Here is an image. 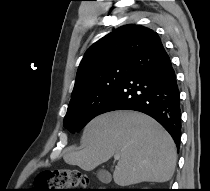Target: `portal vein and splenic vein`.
I'll list each match as a JSON object with an SVG mask.
<instances>
[{
	"label": "portal vein and splenic vein",
	"instance_id": "18ae733b",
	"mask_svg": "<svg viewBox=\"0 0 210 191\" xmlns=\"http://www.w3.org/2000/svg\"><path fill=\"white\" fill-rule=\"evenodd\" d=\"M114 158H115L116 160H118V159L120 158V155H119V154H115V155H114Z\"/></svg>",
	"mask_w": 210,
	"mask_h": 191
}]
</instances>
